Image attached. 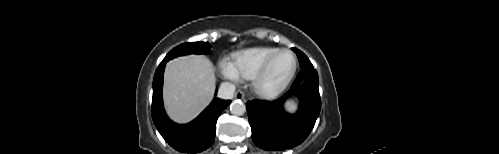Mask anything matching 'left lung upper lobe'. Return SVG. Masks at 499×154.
Segmentation results:
<instances>
[{"mask_svg": "<svg viewBox=\"0 0 499 154\" xmlns=\"http://www.w3.org/2000/svg\"><path fill=\"white\" fill-rule=\"evenodd\" d=\"M301 68H314L309 59L301 51H295Z\"/></svg>", "mask_w": 499, "mask_h": 154, "instance_id": "left-lung-upper-lobe-1", "label": "left lung upper lobe"}]
</instances>
